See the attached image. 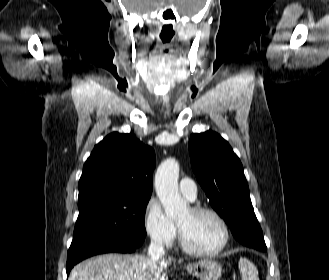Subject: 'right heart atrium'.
<instances>
[{"instance_id":"1","label":"right heart atrium","mask_w":329,"mask_h":280,"mask_svg":"<svg viewBox=\"0 0 329 280\" xmlns=\"http://www.w3.org/2000/svg\"><path fill=\"white\" fill-rule=\"evenodd\" d=\"M143 223L147 236L156 245L169 248L177 237L175 224L165 215L156 199H150L144 208Z\"/></svg>"}]
</instances>
